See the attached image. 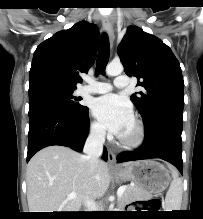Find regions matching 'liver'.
<instances>
[{"mask_svg":"<svg viewBox=\"0 0 203 219\" xmlns=\"http://www.w3.org/2000/svg\"><path fill=\"white\" fill-rule=\"evenodd\" d=\"M26 182L30 212H79L84 202L105 194L110 175L104 161L99 160L95 170L91 171L84 155L64 146L52 145L31 158ZM71 193H75L76 198L68 200Z\"/></svg>","mask_w":203,"mask_h":219,"instance_id":"liver-1","label":"liver"}]
</instances>
